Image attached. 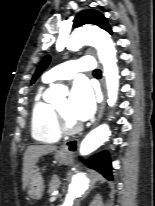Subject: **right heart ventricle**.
I'll return each mask as SVG.
<instances>
[{
  "mask_svg": "<svg viewBox=\"0 0 155 206\" xmlns=\"http://www.w3.org/2000/svg\"><path fill=\"white\" fill-rule=\"evenodd\" d=\"M31 133L35 140L42 143H54L61 137L55 121L53 106L43 98V87L38 90L33 101Z\"/></svg>",
  "mask_w": 155,
  "mask_h": 206,
  "instance_id": "e07e8e85",
  "label": "right heart ventricle"
}]
</instances>
